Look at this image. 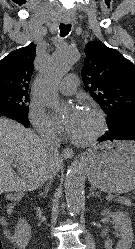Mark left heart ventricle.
<instances>
[{
	"label": "left heart ventricle",
	"mask_w": 135,
	"mask_h": 249,
	"mask_svg": "<svg viewBox=\"0 0 135 249\" xmlns=\"http://www.w3.org/2000/svg\"><path fill=\"white\" fill-rule=\"evenodd\" d=\"M96 129L97 119L95 115L91 111L85 109L83 110V116L77 129L72 135L77 139H85L89 137Z\"/></svg>",
	"instance_id": "b2bd125f"
}]
</instances>
